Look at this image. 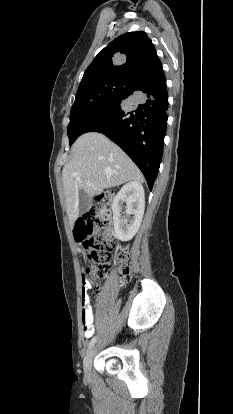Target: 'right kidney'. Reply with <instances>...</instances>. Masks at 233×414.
Returning a JSON list of instances; mask_svg holds the SVG:
<instances>
[{
    "label": "right kidney",
    "instance_id": "ca27d5eb",
    "mask_svg": "<svg viewBox=\"0 0 233 414\" xmlns=\"http://www.w3.org/2000/svg\"><path fill=\"white\" fill-rule=\"evenodd\" d=\"M126 203V215L122 216L121 205ZM145 209V194L141 183L131 181L125 184L112 202L113 225L117 238L129 241L139 230ZM130 215L133 217L130 219Z\"/></svg>",
    "mask_w": 233,
    "mask_h": 414
}]
</instances>
